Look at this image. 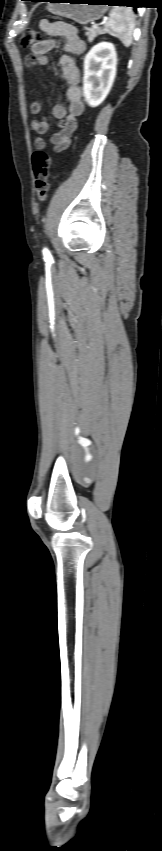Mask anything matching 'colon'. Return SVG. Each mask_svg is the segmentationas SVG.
<instances>
[{
    "label": "colon",
    "mask_w": 162,
    "mask_h": 851,
    "mask_svg": "<svg viewBox=\"0 0 162 851\" xmlns=\"http://www.w3.org/2000/svg\"><path fill=\"white\" fill-rule=\"evenodd\" d=\"M40 39V33L36 29L28 28L25 30L21 38V45L23 47H32L34 44L38 43ZM51 165L52 160L46 152L37 150L33 153L32 166L35 177V187L38 198L42 202L45 201L48 196Z\"/></svg>",
    "instance_id": "1"
}]
</instances>
